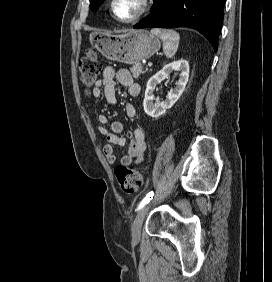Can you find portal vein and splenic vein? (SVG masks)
I'll return each mask as SVG.
<instances>
[{
	"mask_svg": "<svg viewBox=\"0 0 272 282\" xmlns=\"http://www.w3.org/2000/svg\"><path fill=\"white\" fill-rule=\"evenodd\" d=\"M152 65H153V64H152L151 62L148 63V67H152Z\"/></svg>",
	"mask_w": 272,
	"mask_h": 282,
	"instance_id": "obj_1",
	"label": "portal vein and splenic vein"
}]
</instances>
